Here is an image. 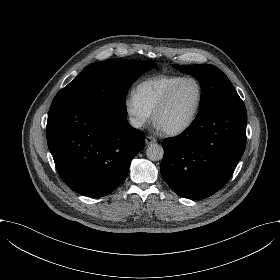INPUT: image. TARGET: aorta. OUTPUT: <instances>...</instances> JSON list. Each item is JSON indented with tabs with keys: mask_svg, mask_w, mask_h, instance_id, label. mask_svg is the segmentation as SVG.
Returning a JSON list of instances; mask_svg holds the SVG:
<instances>
[{
	"mask_svg": "<svg viewBox=\"0 0 280 280\" xmlns=\"http://www.w3.org/2000/svg\"><path fill=\"white\" fill-rule=\"evenodd\" d=\"M147 158L151 161H159L163 158V147L157 143L151 144L146 150Z\"/></svg>",
	"mask_w": 280,
	"mask_h": 280,
	"instance_id": "762f6f07",
	"label": "aorta"
}]
</instances>
